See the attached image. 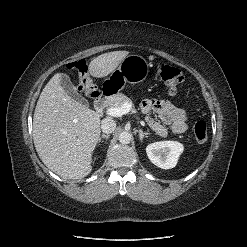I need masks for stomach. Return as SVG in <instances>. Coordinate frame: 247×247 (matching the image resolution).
Returning <instances> with one entry per match:
<instances>
[{"label": "stomach", "instance_id": "1", "mask_svg": "<svg viewBox=\"0 0 247 247\" xmlns=\"http://www.w3.org/2000/svg\"><path fill=\"white\" fill-rule=\"evenodd\" d=\"M150 64L140 55L126 56L103 84L104 91L115 93L123 89L126 83L143 82L149 72Z\"/></svg>", "mask_w": 247, "mask_h": 247}]
</instances>
